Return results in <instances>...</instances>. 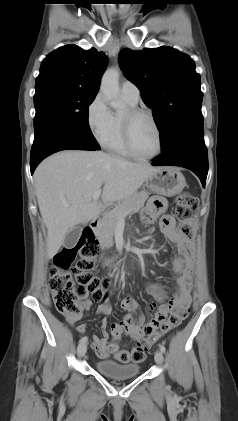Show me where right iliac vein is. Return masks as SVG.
Segmentation results:
<instances>
[{
    "label": "right iliac vein",
    "instance_id": "63e3f726",
    "mask_svg": "<svg viewBox=\"0 0 238 421\" xmlns=\"http://www.w3.org/2000/svg\"><path fill=\"white\" fill-rule=\"evenodd\" d=\"M87 351L86 342H81L77 347V354L79 357H83Z\"/></svg>",
    "mask_w": 238,
    "mask_h": 421
}]
</instances>
